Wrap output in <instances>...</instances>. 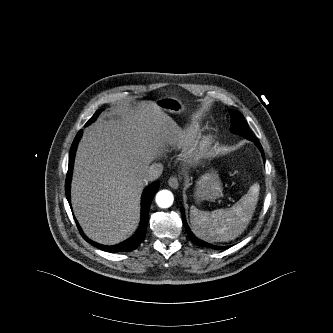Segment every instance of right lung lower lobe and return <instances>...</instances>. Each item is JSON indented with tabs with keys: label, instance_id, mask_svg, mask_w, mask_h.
<instances>
[{
	"label": "right lung lower lobe",
	"instance_id": "right-lung-lower-lobe-1",
	"mask_svg": "<svg viewBox=\"0 0 333 333\" xmlns=\"http://www.w3.org/2000/svg\"><path fill=\"white\" fill-rule=\"evenodd\" d=\"M81 135H82V131H79V133L76 135V137L72 143L70 155H69V167H68L66 183H65V192H66V197H67V200L69 203H70V182H71V176H72V170H73V162H74L77 144L81 138ZM158 188H159V183L154 182L144 190L143 195H142V202H141V222H140L138 230L131 238L127 239L126 241H124L120 244L114 245V246L101 245V244H98V243L88 239L87 237H85L79 224L76 221L77 227H78L81 235L83 236V238L86 241H88L93 246H95L101 250L107 251V252H128V251L134 250L135 248H137L139 246V244L143 241V239L145 237L147 224H148V220H149V208H150L151 202H152L153 197H154L156 191L158 190Z\"/></svg>",
	"mask_w": 333,
	"mask_h": 333
}]
</instances>
